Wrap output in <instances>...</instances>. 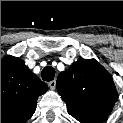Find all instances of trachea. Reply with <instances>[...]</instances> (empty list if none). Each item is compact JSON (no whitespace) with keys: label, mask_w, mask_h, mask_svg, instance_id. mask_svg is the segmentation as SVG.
Returning <instances> with one entry per match:
<instances>
[{"label":"trachea","mask_w":123,"mask_h":123,"mask_svg":"<svg viewBox=\"0 0 123 123\" xmlns=\"http://www.w3.org/2000/svg\"><path fill=\"white\" fill-rule=\"evenodd\" d=\"M55 76V69L51 66L45 67L41 72V77L44 81H52Z\"/></svg>","instance_id":"obj_1"}]
</instances>
